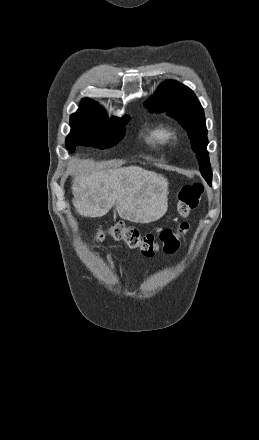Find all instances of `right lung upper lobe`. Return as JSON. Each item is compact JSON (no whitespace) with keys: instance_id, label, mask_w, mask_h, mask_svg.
<instances>
[{"instance_id":"cb5924a9","label":"right lung upper lobe","mask_w":259,"mask_h":440,"mask_svg":"<svg viewBox=\"0 0 259 440\" xmlns=\"http://www.w3.org/2000/svg\"><path fill=\"white\" fill-rule=\"evenodd\" d=\"M81 107H90V108H98L102 109V107L94 100L89 98H84L81 101Z\"/></svg>"}]
</instances>
